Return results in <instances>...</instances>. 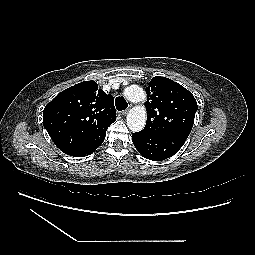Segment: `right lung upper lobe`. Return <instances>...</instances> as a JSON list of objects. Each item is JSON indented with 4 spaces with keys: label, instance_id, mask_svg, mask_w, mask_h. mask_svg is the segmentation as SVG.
Listing matches in <instances>:
<instances>
[{
    "label": "right lung upper lobe",
    "instance_id": "cb5924a9",
    "mask_svg": "<svg viewBox=\"0 0 255 255\" xmlns=\"http://www.w3.org/2000/svg\"><path fill=\"white\" fill-rule=\"evenodd\" d=\"M114 98L84 81L60 92L43 111V125L65 154L79 156L116 120Z\"/></svg>",
    "mask_w": 255,
    "mask_h": 255
}]
</instances>
